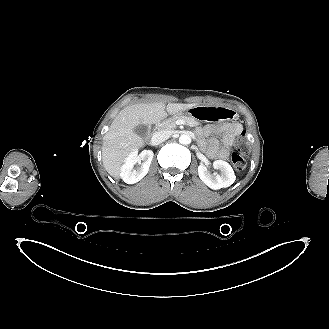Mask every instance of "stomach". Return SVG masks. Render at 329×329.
<instances>
[{"label":"stomach","mask_w":329,"mask_h":329,"mask_svg":"<svg viewBox=\"0 0 329 329\" xmlns=\"http://www.w3.org/2000/svg\"><path fill=\"white\" fill-rule=\"evenodd\" d=\"M187 115L202 122L219 123L224 120H233L236 117L233 109L225 106H194L177 114Z\"/></svg>","instance_id":"obj_1"}]
</instances>
